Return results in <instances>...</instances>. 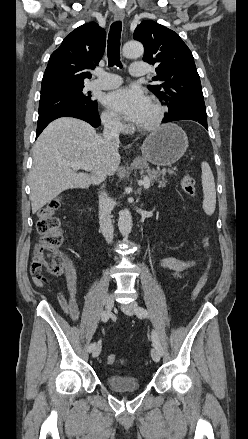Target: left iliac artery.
<instances>
[{
  "label": "left iliac artery",
  "instance_id": "left-iliac-artery-1",
  "mask_svg": "<svg viewBox=\"0 0 248 439\" xmlns=\"http://www.w3.org/2000/svg\"><path fill=\"white\" fill-rule=\"evenodd\" d=\"M137 312L142 317H149V313L147 312V310L142 308V307H139L137 309ZM152 341H153L154 346L159 351L160 355H163L164 354V350H163V348L161 346V343H160L159 338H158V336H157L155 331L152 332Z\"/></svg>",
  "mask_w": 248,
  "mask_h": 439
}]
</instances>
